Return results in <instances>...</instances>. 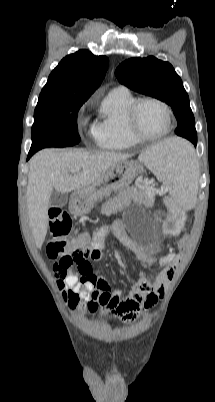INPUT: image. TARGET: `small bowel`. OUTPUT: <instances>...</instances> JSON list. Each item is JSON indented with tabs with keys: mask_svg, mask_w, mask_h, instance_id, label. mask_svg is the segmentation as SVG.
<instances>
[{
	"mask_svg": "<svg viewBox=\"0 0 215 402\" xmlns=\"http://www.w3.org/2000/svg\"><path fill=\"white\" fill-rule=\"evenodd\" d=\"M150 201H144L148 205ZM115 238L124 246L136 248V243L127 235L121 222L112 227ZM107 230L94 234L84 254V260L74 264V269L53 266L57 278V285L63 291V297L71 310L76 308L91 314L101 309L103 315H109L123 321H130L139 316L141 311L154 305L164 294L168 282L171 280V271L162 270L154 278L141 272L139 278L132 285L128 295L122 296L119 290H111L107 280L93 271V264L103 258V249ZM166 256L163 261H168ZM81 264H86L88 270H78Z\"/></svg>",
	"mask_w": 215,
	"mask_h": 402,
	"instance_id": "obj_1",
	"label": "small bowel"
}]
</instances>
